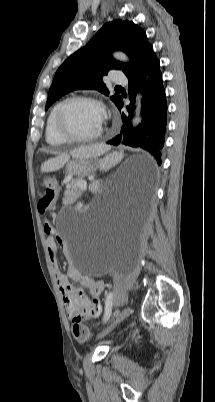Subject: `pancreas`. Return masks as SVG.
I'll return each mask as SVG.
<instances>
[{"instance_id":"1","label":"pancreas","mask_w":215,"mask_h":402,"mask_svg":"<svg viewBox=\"0 0 215 402\" xmlns=\"http://www.w3.org/2000/svg\"><path fill=\"white\" fill-rule=\"evenodd\" d=\"M82 190H83V189H82ZM73 191H75V192L77 193V195H80V194H81V190L79 189V185H78L77 181L73 182L72 184H70V185L67 187L66 194H70V193H72Z\"/></svg>"}]
</instances>
